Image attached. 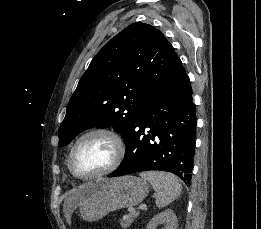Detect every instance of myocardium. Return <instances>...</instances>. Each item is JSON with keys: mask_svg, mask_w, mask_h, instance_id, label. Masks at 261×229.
I'll return each instance as SVG.
<instances>
[{"mask_svg": "<svg viewBox=\"0 0 261 229\" xmlns=\"http://www.w3.org/2000/svg\"><path fill=\"white\" fill-rule=\"evenodd\" d=\"M97 135L106 137L112 143L114 150H115V155H114L113 161L106 169H104L102 171L92 173V174L81 173L73 165L74 152L77 149V147L84 140H86L87 138H90L92 136H97ZM124 156H125V145H124V142H123L121 136L117 132H115L114 130L109 129V128H103V127L95 128V129L85 132L72 145L70 152H69V157H68V167H69V170L72 172V174H74L75 176H77L81 179H93V178H97V177H101V176L110 174L113 171H115L122 163Z\"/></svg>", "mask_w": 261, "mask_h": 229, "instance_id": "myocardium-1", "label": "myocardium"}]
</instances>
